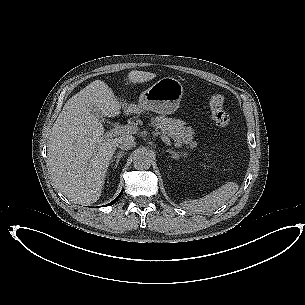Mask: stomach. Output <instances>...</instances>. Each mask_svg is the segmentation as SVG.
<instances>
[{
  "mask_svg": "<svg viewBox=\"0 0 305 305\" xmlns=\"http://www.w3.org/2000/svg\"><path fill=\"white\" fill-rule=\"evenodd\" d=\"M183 84L173 77H162L155 81L139 97V105L161 115L174 113L184 96Z\"/></svg>",
  "mask_w": 305,
  "mask_h": 305,
  "instance_id": "1",
  "label": "stomach"
}]
</instances>
